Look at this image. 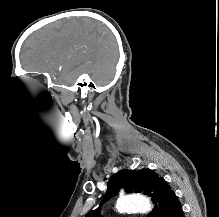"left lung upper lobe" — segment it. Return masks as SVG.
I'll return each mask as SVG.
<instances>
[{"label":"left lung upper lobe","mask_w":219,"mask_h":217,"mask_svg":"<svg viewBox=\"0 0 219 217\" xmlns=\"http://www.w3.org/2000/svg\"><path fill=\"white\" fill-rule=\"evenodd\" d=\"M121 188L126 192L143 193L151 197L155 206L148 217H171L180 204L168 183L149 168L141 170H121L114 174L108 183L104 201L115 196ZM86 217H101L100 207L89 212Z\"/></svg>","instance_id":"5c2ea615"}]
</instances>
